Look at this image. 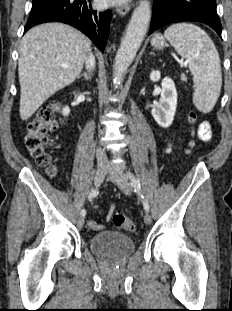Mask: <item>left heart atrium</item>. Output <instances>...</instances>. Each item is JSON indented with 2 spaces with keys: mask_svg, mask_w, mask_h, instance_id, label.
<instances>
[{
  "mask_svg": "<svg viewBox=\"0 0 232 311\" xmlns=\"http://www.w3.org/2000/svg\"><path fill=\"white\" fill-rule=\"evenodd\" d=\"M128 0H104V2L106 4H109V5H116V4H122V3H125L127 2Z\"/></svg>",
  "mask_w": 232,
  "mask_h": 311,
  "instance_id": "left-heart-atrium-1",
  "label": "left heart atrium"
}]
</instances>
